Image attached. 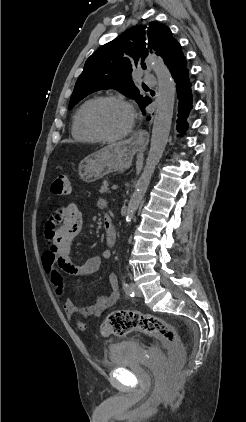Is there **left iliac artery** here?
Wrapping results in <instances>:
<instances>
[{
	"label": "left iliac artery",
	"instance_id": "obj_1",
	"mask_svg": "<svg viewBox=\"0 0 246 422\" xmlns=\"http://www.w3.org/2000/svg\"><path fill=\"white\" fill-rule=\"evenodd\" d=\"M122 285L126 295L134 297V291L132 290L131 286L126 282L125 278H123Z\"/></svg>",
	"mask_w": 246,
	"mask_h": 422
}]
</instances>
